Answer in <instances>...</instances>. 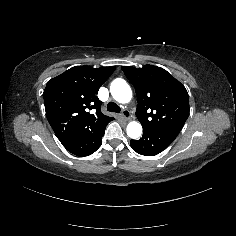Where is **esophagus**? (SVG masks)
<instances>
[{
	"instance_id": "1",
	"label": "esophagus",
	"mask_w": 236,
	"mask_h": 236,
	"mask_svg": "<svg viewBox=\"0 0 236 236\" xmlns=\"http://www.w3.org/2000/svg\"><path fill=\"white\" fill-rule=\"evenodd\" d=\"M129 115H130V112L128 110H123L122 111V117L125 119V120H128L129 119Z\"/></svg>"
}]
</instances>
